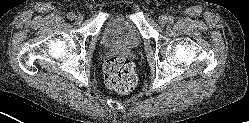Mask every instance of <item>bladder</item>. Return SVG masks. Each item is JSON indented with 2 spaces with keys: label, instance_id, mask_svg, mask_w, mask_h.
<instances>
[{
  "label": "bladder",
  "instance_id": "obj_1",
  "mask_svg": "<svg viewBox=\"0 0 249 123\" xmlns=\"http://www.w3.org/2000/svg\"><path fill=\"white\" fill-rule=\"evenodd\" d=\"M141 42L142 37L138 27L130 17L122 12L112 15L100 34V43L107 48L135 49L140 46Z\"/></svg>",
  "mask_w": 249,
  "mask_h": 123
}]
</instances>
